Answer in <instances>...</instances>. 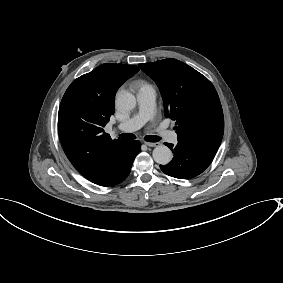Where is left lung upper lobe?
I'll return each instance as SVG.
<instances>
[{
  "label": "left lung upper lobe",
  "mask_w": 283,
  "mask_h": 283,
  "mask_svg": "<svg viewBox=\"0 0 283 283\" xmlns=\"http://www.w3.org/2000/svg\"><path fill=\"white\" fill-rule=\"evenodd\" d=\"M139 66L158 85L165 116L176 120L178 143L215 155L223 138L224 117L212 83L172 58Z\"/></svg>",
  "instance_id": "1"
}]
</instances>
